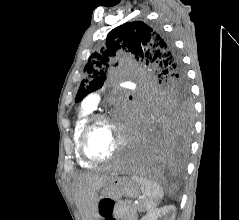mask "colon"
<instances>
[{"instance_id": "colon-1", "label": "colon", "mask_w": 239, "mask_h": 220, "mask_svg": "<svg viewBox=\"0 0 239 220\" xmlns=\"http://www.w3.org/2000/svg\"><path fill=\"white\" fill-rule=\"evenodd\" d=\"M114 201L110 199L102 200L99 204L100 215L104 220H115L113 217Z\"/></svg>"}]
</instances>
